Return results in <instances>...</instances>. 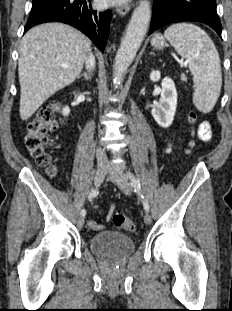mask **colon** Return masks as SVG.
Here are the masks:
<instances>
[{
	"label": "colon",
	"instance_id": "5ec220e1",
	"mask_svg": "<svg viewBox=\"0 0 232 311\" xmlns=\"http://www.w3.org/2000/svg\"><path fill=\"white\" fill-rule=\"evenodd\" d=\"M59 104L57 102L42 107L37 115L28 123L24 142L27 150L35 158L38 164L46 167L49 175L56 173L55 167L51 163L50 154L47 151L50 143V133L54 132L58 126L57 112ZM188 120L191 124H195L197 116L194 112L189 113ZM191 134L195 136L194 128L191 129ZM195 141L191 142L193 146ZM112 224L119 229L129 232L137 230L136 225L126 216L115 213L111 216Z\"/></svg>",
	"mask_w": 232,
	"mask_h": 311
}]
</instances>
